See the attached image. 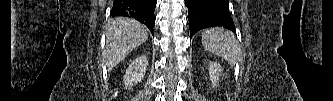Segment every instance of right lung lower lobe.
I'll use <instances>...</instances> for the list:
<instances>
[{"label":"right lung lower lobe","mask_w":333,"mask_h":101,"mask_svg":"<svg viewBox=\"0 0 333 101\" xmlns=\"http://www.w3.org/2000/svg\"><path fill=\"white\" fill-rule=\"evenodd\" d=\"M157 0H114L110 16H127L145 24L152 32Z\"/></svg>","instance_id":"obj_1"}]
</instances>
